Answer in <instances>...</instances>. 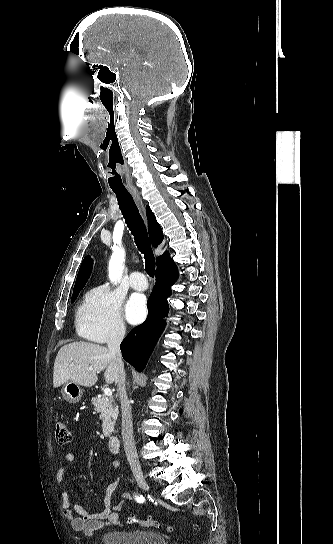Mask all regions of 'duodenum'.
Returning <instances> with one entry per match:
<instances>
[{"instance_id": "410a0bca", "label": "duodenum", "mask_w": 333, "mask_h": 544, "mask_svg": "<svg viewBox=\"0 0 333 544\" xmlns=\"http://www.w3.org/2000/svg\"><path fill=\"white\" fill-rule=\"evenodd\" d=\"M108 446H109V450L112 453H114V454L119 453L120 449H121V439H120V437L117 436V435L111 436L110 439H109Z\"/></svg>"}]
</instances>
